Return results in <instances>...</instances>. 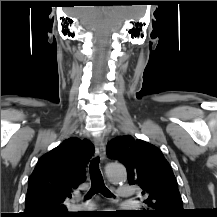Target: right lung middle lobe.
I'll return each mask as SVG.
<instances>
[{"instance_id":"right-lung-middle-lobe-1","label":"right lung middle lobe","mask_w":217,"mask_h":217,"mask_svg":"<svg viewBox=\"0 0 217 217\" xmlns=\"http://www.w3.org/2000/svg\"><path fill=\"white\" fill-rule=\"evenodd\" d=\"M56 217H65L64 215H56Z\"/></svg>"}]
</instances>
